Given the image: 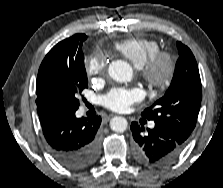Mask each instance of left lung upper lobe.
I'll use <instances>...</instances> for the list:
<instances>
[{
    "instance_id": "left-lung-upper-lobe-1",
    "label": "left lung upper lobe",
    "mask_w": 223,
    "mask_h": 188,
    "mask_svg": "<svg viewBox=\"0 0 223 188\" xmlns=\"http://www.w3.org/2000/svg\"><path fill=\"white\" fill-rule=\"evenodd\" d=\"M179 59L165 95L142 112V116L163 125L184 142L196 125L202 88L197 62L191 50L177 42Z\"/></svg>"
}]
</instances>
